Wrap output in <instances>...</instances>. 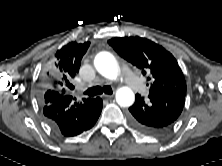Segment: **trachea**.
I'll use <instances>...</instances> for the list:
<instances>
[{"label":"trachea","mask_w":222,"mask_h":166,"mask_svg":"<svg viewBox=\"0 0 222 166\" xmlns=\"http://www.w3.org/2000/svg\"><path fill=\"white\" fill-rule=\"evenodd\" d=\"M103 92L105 94H112V88L108 85L103 86V87H100V86L91 87L88 90H86L84 94L93 97V96L102 94Z\"/></svg>","instance_id":"3493384b"}]
</instances>
